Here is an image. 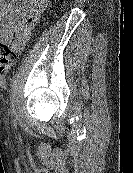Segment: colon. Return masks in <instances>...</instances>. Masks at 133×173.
I'll use <instances>...</instances> for the list:
<instances>
[{
  "mask_svg": "<svg viewBox=\"0 0 133 173\" xmlns=\"http://www.w3.org/2000/svg\"><path fill=\"white\" fill-rule=\"evenodd\" d=\"M17 48L14 44L0 41V73L7 72L16 62Z\"/></svg>",
  "mask_w": 133,
  "mask_h": 173,
  "instance_id": "1",
  "label": "colon"
}]
</instances>
